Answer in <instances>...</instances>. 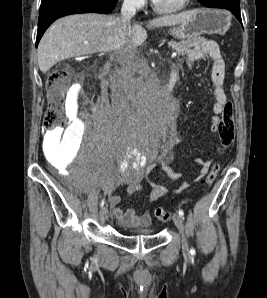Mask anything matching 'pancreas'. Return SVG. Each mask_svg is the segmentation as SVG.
<instances>
[{"label":"pancreas","instance_id":"obj_1","mask_svg":"<svg viewBox=\"0 0 267 298\" xmlns=\"http://www.w3.org/2000/svg\"><path fill=\"white\" fill-rule=\"evenodd\" d=\"M198 41L197 37H192L181 42L171 41L170 45L177 51L178 55L185 56L191 52V48L197 45Z\"/></svg>","mask_w":267,"mask_h":298}]
</instances>
